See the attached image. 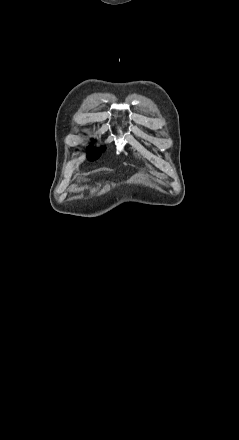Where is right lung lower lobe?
Masks as SVG:
<instances>
[{"instance_id": "obj_1", "label": "right lung lower lobe", "mask_w": 239, "mask_h": 440, "mask_svg": "<svg viewBox=\"0 0 239 440\" xmlns=\"http://www.w3.org/2000/svg\"><path fill=\"white\" fill-rule=\"evenodd\" d=\"M99 156H100V153L95 152V151H91L88 153V159L91 161L96 160L97 158H99Z\"/></svg>"}]
</instances>
